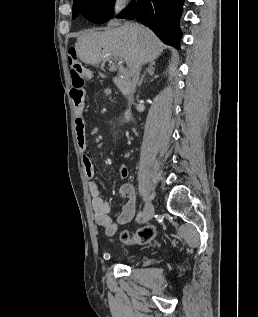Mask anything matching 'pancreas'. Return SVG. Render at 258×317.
Listing matches in <instances>:
<instances>
[{
    "label": "pancreas",
    "instance_id": "1",
    "mask_svg": "<svg viewBox=\"0 0 258 317\" xmlns=\"http://www.w3.org/2000/svg\"><path fill=\"white\" fill-rule=\"evenodd\" d=\"M117 79H120V78H117ZM119 88H122V86H119Z\"/></svg>",
    "mask_w": 258,
    "mask_h": 317
}]
</instances>
